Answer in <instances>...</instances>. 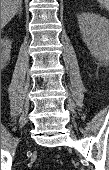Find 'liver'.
I'll return each mask as SVG.
<instances>
[{"label":"liver","instance_id":"liver-1","mask_svg":"<svg viewBox=\"0 0 109 170\" xmlns=\"http://www.w3.org/2000/svg\"><path fill=\"white\" fill-rule=\"evenodd\" d=\"M22 0H1V26L4 27L18 12Z\"/></svg>","mask_w":109,"mask_h":170}]
</instances>
